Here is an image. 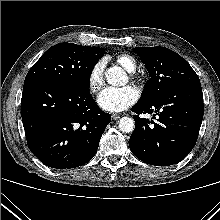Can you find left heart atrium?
Segmentation results:
<instances>
[{
    "mask_svg": "<svg viewBox=\"0 0 220 220\" xmlns=\"http://www.w3.org/2000/svg\"><path fill=\"white\" fill-rule=\"evenodd\" d=\"M139 95L132 86L107 87L100 92L97 98L99 107L108 112H121L133 105Z\"/></svg>",
    "mask_w": 220,
    "mask_h": 220,
    "instance_id": "left-heart-atrium-1",
    "label": "left heart atrium"
}]
</instances>
